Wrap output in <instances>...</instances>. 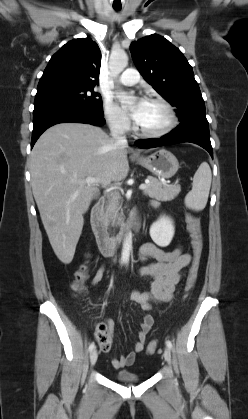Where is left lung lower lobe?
<instances>
[{
    "label": "left lung lower lobe",
    "instance_id": "0a47b994",
    "mask_svg": "<svg viewBox=\"0 0 248 419\" xmlns=\"http://www.w3.org/2000/svg\"><path fill=\"white\" fill-rule=\"evenodd\" d=\"M182 142H191L206 149L213 158L210 142L209 125L206 114H194L181 121V124L169 134L154 139H144L135 142L140 148H153Z\"/></svg>",
    "mask_w": 248,
    "mask_h": 419
}]
</instances>
